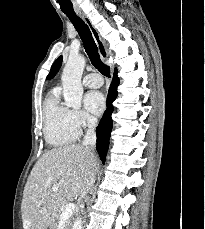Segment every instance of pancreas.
I'll list each match as a JSON object with an SVG mask.
<instances>
[{"label":"pancreas","mask_w":205,"mask_h":229,"mask_svg":"<svg viewBox=\"0 0 205 229\" xmlns=\"http://www.w3.org/2000/svg\"><path fill=\"white\" fill-rule=\"evenodd\" d=\"M60 215L61 213L60 212H57V214L55 215V221L52 223V225L50 226V229H58V222L60 221ZM71 221L70 220H67L65 222V226H64V229H71Z\"/></svg>","instance_id":"1"}]
</instances>
